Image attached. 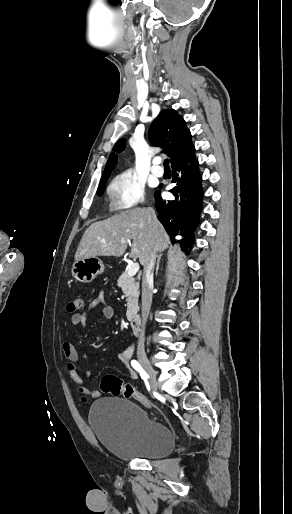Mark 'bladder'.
Returning <instances> with one entry per match:
<instances>
[{
	"label": "bladder",
	"instance_id": "1",
	"mask_svg": "<svg viewBox=\"0 0 292 514\" xmlns=\"http://www.w3.org/2000/svg\"><path fill=\"white\" fill-rule=\"evenodd\" d=\"M88 422L97 440L119 460L157 459L175 446V435L168 425L126 399L95 401Z\"/></svg>",
	"mask_w": 292,
	"mask_h": 514
}]
</instances>
